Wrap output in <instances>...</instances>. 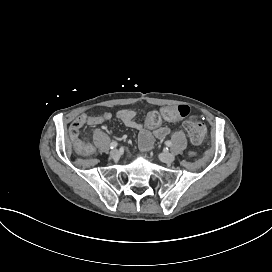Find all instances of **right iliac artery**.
Masks as SVG:
<instances>
[{"mask_svg": "<svg viewBox=\"0 0 272 272\" xmlns=\"http://www.w3.org/2000/svg\"><path fill=\"white\" fill-rule=\"evenodd\" d=\"M118 146V143L116 141L111 142L110 149L116 148Z\"/></svg>", "mask_w": 272, "mask_h": 272, "instance_id": "right-iliac-artery-1", "label": "right iliac artery"}]
</instances>
